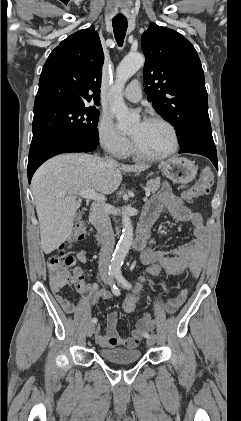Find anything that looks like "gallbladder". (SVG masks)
Listing matches in <instances>:
<instances>
[{"mask_svg":"<svg viewBox=\"0 0 241 421\" xmlns=\"http://www.w3.org/2000/svg\"><path fill=\"white\" fill-rule=\"evenodd\" d=\"M82 218V214H81V212H77L76 214H75V217H74V220H80Z\"/></svg>","mask_w":241,"mask_h":421,"instance_id":"bac80fb5","label":"gallbladder"}]
</instances>
